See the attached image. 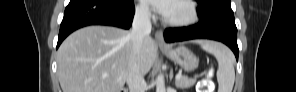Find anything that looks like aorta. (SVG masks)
I'll return each mask as SVG.
<instances>
[{
    "instance_id": "aorta-1",
    "label": "aorta",
    "mask_w": 296,
    "mask_h": 92,
    "mask_svg": "<svg viewBox=\"0 0 296 92\" xmlns=\"http://www.w3.org/2000/svg\"><path fill=\"white\" fill-rule=\"evenodd\" d=\"M156 92H165V80L164 75L159 74L155 80Z\"/></svg>"
}]
</instances>
